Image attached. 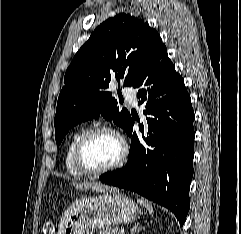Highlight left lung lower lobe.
I'll use <instances>...</instances> for the list:
<instances>
[{
	"label": "left lung lower lobe",
	"mask_w": 241,
	"mask_h": 234,
	"mask_svg": "<svg viewBox=\"0 0 241 234\" xmlns=\"http://www.w3.org/2000/svg\"><path fill=\"white\" fill-rule=\"evenodd\" d=\"M147 123L142 136L129 118L125 131L132 137L125 167L100 176L105 184L134 191L170 209L183 225L190 208L195 118L184 80L175 71L166 47L161 49L133 85Z\"/></svg>",
	"instance_id": "1"
}]
</instances>
